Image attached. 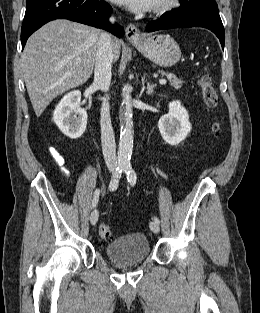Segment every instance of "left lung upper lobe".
Instances as JSON below:
<instances>
[{"mask_svg": "<svg viewBox=\"0 0 260 313\" xmlns=\"http://www.w3.org/2000/svg\"><path fill=\"white\" fill-rule=\"evenodd\" d=\"M181 6L177 9L183 12H203L219 15L218 6L214 0H180Z\"/></svg>", "mask_w": 260, "mask_h": 313, "instance_id": "1", "label": "left lung upper lobe"}]
</instances>
